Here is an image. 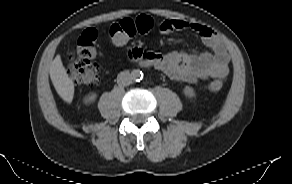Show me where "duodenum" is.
Here are the masks:
<instances>
[{"label": "duodenum", "mask_w": 292, "mask_h": 184, "mask_svg": "<svg viewBox=\"0 0 292 184\" xmlns=\"http://www.w3.org/2000/svg\"><path fill=\"white\" fill-rule=\"evenodd\" d=\"M136 57H137V55H136ZM138 58L140 60L139 65L141 67L148 66V65H150L153 62L151 56H145L144 55V52H142V54L139 55Z\"/></svg>", "instance_id": "obj_1"}]
</instances>
